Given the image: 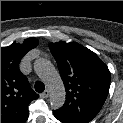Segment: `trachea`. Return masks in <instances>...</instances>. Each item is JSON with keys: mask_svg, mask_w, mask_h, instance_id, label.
I'll list each match as a JSON object with an SVG mask.
<instances>
[{"mask_svg": "<svg viewBox=\"0 0 123 123\" xmlns=\"http://www.w3.org/2000/svg\"><path fill=\"white\" fill-rule=\"evenodd\" d=\"M34 87H35L36 92H39V93H41L45 90V85L41 81H37L35 83Z\"/></svg>", "mask_w": 123, "mask_h": 123, "instance_id": "trachea-1", "label": "trachea"}]
</instances>
